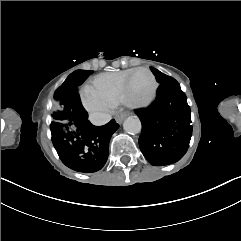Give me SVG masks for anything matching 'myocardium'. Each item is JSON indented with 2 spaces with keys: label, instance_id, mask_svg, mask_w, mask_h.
I'll return each instance as SVG.
<instances>
[{
  "label": "myocardium",
  "instance_id": "obj_1",
  "mask_svg": "<svg viewBox=\"0 0 241 241\" xmlns=\"http://www.w3.org/2000/svg\"><path fill=\"white\" fill-rule=\"evenodd\" d=\"M140 73L145 74L146 76H150L151 80L153 81V96L152 98L147 101V103L145 104H140L135 106V108H141V109H146V108H150V106H152V102H154V100L158 97L159 94V81L157 79V76L155 73H153V71H150L148 69L142 68V67H136L134 72L132 74H129V78H127L125 80L124 83V87H122V93H124V95H120L119 98V103H125L128 102V98H129V87L133 81V79L138 76Z\"/></svg>",
  "mask_w": 241,
  "mask_h": 241
}]
</instances>
